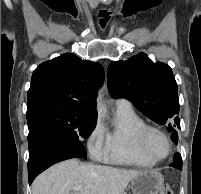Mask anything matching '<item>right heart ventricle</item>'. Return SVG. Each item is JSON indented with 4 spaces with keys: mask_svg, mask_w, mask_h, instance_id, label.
<instances>
[{
    "mask_svg": "<svg viewBox=\"0 0 201 194\" xmlns=\"http://www.w3.org/2000/svg\"><path fill=\"white\" fill-rule=\"evenodd\" d=\"M144 125V120L130 106L118 105L110 125H103V158L115 164L153 166L155 162L138 145V134Z\"/></svg>",
    "mask_w": 201,
    "mask_h": 194,
    "instance_id": "right-heart-ventricle-1",
    "label": "right heart ventricle"
}]
</instances>
